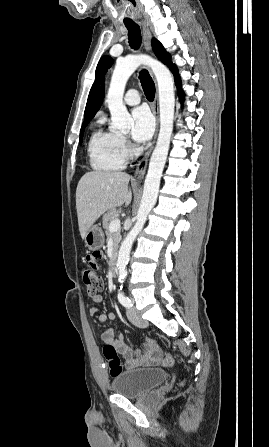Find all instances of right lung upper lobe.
<instances>
[{
  "instance_id": "cb5924a9",
  "label": "right lung upper lobe",
  "mask_w": 269,
  "mask_h": 447,
  "mask_svg": "<svg viewBox=\"0 0 269 447\" xmlns=\"http://www.w3.org/2000/svg\"><path fill=\"white\" fill-rule=\"evenodd\" d=\"M103 98H104V83H102V87L96 97L95 103L93 105V108L90 112V114L88 115V117L85 119L82 127L86 124H88L91 120V118L94 117V115L96 114V112L99 110V108L101 107V104L103 102Z\"/></svg>"
}]
</instances>
